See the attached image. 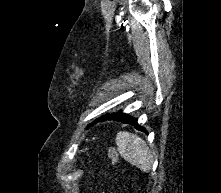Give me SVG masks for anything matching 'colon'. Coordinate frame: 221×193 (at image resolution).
Wrapping results in <instances>:
<instances>
[{
	"label": "colon",
	"instance_id": "obj_1",
	"mask_svg": "<svg viewBox=\"0 0 221 193\" xmlns=\"http://www.w3.org/2000/svg\"><path fill=\"white\" fill-rule=\"evenodd\" d=\"M105 150H106V153H107L109 159L111 160L112 165L113 166L117 165L119 159H118V154H117L116 150L112 146H106Z\"/></svg>",
	"mask_w": 221,
	"mask_h": 193
}]
</instances>
